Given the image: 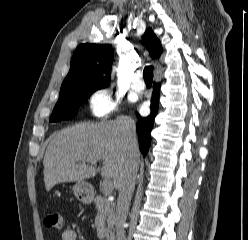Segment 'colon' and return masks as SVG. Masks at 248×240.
Listing matches in <instances>:
<instances>
[{"label": "colon", "instance_id": "colon-1", "mask_svg": "<svg viewBox=\"0 0 248 240\" xmlns=\"http://www.w3.org/2000/svg\"><path fill=\"white\" fill-rule=\"evenodd\" d=\"M44 224L47 228L61 230L63 227L62 215L58 212L48 213L44 219Z\"/></svg>", "mask_w": 248, "mask_h": 240}]
</instances>
